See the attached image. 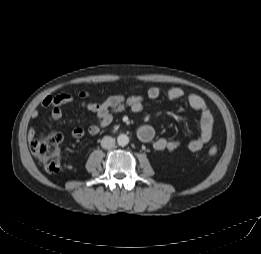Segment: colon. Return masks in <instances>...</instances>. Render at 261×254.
<instances>
[{
	"label": "colon",
	"mask_w": 261,
	"mask_h": 254,
	"mask_svg": "<svg viewBox=\"0 0 261 254\" xmlns=\"http://www.w3.org/2000/svg\"><path fill=\"white\" fill-rule=\"evenodd\" d=\"M62 142L63 135L58 132L39 135L31 139L30 149L46 170L57 172L63 166L61 151ZM217 152V146L211 145L208 149L207 155L209 158H213L217 155Z\"/></svg>",
	"instance_id": "obj_1"
}]
</instances>
